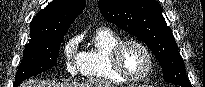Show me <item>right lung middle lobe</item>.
Returning <instances> with one entry per match:
<instances>
[{
	"label": "right lung middle lobe",
	"mask_w": 205,
	"mask_h": 87,
	"mask_svg": "<svg viewBox=\"0 0 205 87\" xmlns=\"http://www.w3.org/2000/svg\"><path fill=\"white\" fill-rule=\"evenodd\" d=\"M64 35L31 39L26 44L14 87H18L23 80L57 66L56 60Z\"/></svg>",
	"instance_id": "1"
}]
</instances>
